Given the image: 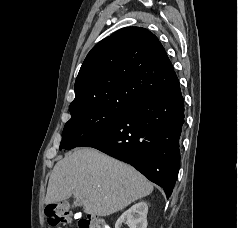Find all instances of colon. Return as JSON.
Returning a JSON list of instances; mask_svg holds the SVG:
<instances>
[{
	"mask_svg": "<svg viewBox=\"0 0 238 228\" xmlns=\"http://www.w3.org/2000/svg\"><path fill=\"white\" fill-rule=\"evenodd\" d=\"M45 214L52 228L59 225H69L73 220L77 221L79 228H110L107 222L98 216L74 214L72 206L67 202L48 205Z\"/></svg>",
	"mask_w": 238,
	"mask_h": 228,
	"instance_id": "5ec220e1",
	"label": "colon"
}]
</instances>
